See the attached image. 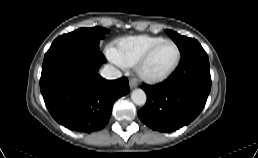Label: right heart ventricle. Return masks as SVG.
Listing matches in <instances>:
<instances>
[{
  "mask_svg": "<svg viewBox=\"0 0 258 158\" xmlns=\"http://www.w3.org/2000/svg\"><path fill=\"white\" fill-rule=\"evenodd\" d=\"M163 40L162 37L136 36L120 40L115 51L116 58L127 67L135 66L144 54L155 44Z\"/></svg>",
  "mask_w": 258,
  "mask_h": 158,
  "instance_id": "right-heart-ventricle-1",
  "label": "right heart ventricle"
}]
</instances>
